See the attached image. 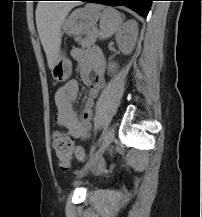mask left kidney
<instances>
[{"label":"left kidney","mask_w":202,"mask_h":217,"mask_svg":"<svg viewBox=\"0 0 202 217\" xmlns=\"http://www.w3.org/2000/svg\"><path fill=\"white\" fill-rule=\"evenodd\" d=\"M137 36V23L134 20L127 21L122 26V29L116 34V42L123 54L128 55L133 51L136 44ZM116 69L117 64L114 62H109L108 71L113 73Z\"/></svg>","instance_id":"obj_1"}]
</instances>
